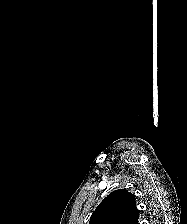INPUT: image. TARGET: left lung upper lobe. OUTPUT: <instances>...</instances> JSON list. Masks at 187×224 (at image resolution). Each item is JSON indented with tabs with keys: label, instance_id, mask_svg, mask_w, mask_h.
I'll list each match as a JSON object with an SVG mask.
<instances>
[{
	"label": "left lung upper lobe",
	"instance_id": "obj_1",
	"mask_svg": "<svg viewBox=\"0 0 187 224\" xmlns=\"http://www.w3.org/2000/svg\"><path fill=\"white\" fill-rule=\"evenodd\" d=\"M135 196L126 189L109 194L92 213L89 224H138Z\"/></svg>",
	"mask_w": 187,
	"mask_h": 224
}]
</instances>
